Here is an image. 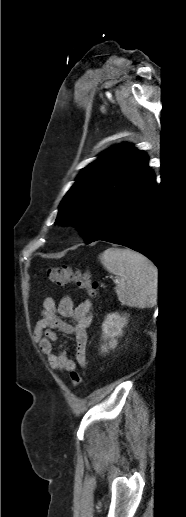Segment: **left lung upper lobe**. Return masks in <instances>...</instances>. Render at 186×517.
<instances>
[{"instance_id": "left-lung-upper-lobe-1", "label": "left lung upper lobe", "mask_w": 186, "mask_h": 517, "mask_svg": "<svg viewBox=\"0 0 186 517\" xmlns=\"http://www.w3.org/2000/svg\"><path fill=\"white\" fill-rule=\"evenodd\" d=\"M148 168V157L130 144L104 151L80 172L59 206L55 224L74 225L88 244L106 213Z\"/></svg>"}]
</instances>
